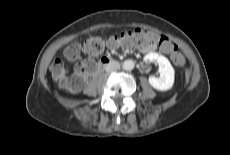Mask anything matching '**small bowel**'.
I'll use <instances>...</instances> for the list:
<instances>
[{
  "mask_svg": "<svg viewBox=\"0 0 230 155\" xmlns=\"http://www.w3.org/2000/svg\"><path fill=\"white\" fill-rule=\"evenodd\" d=\"M108 48H109L110 50H115V49L119 48V46H109ZM155 49H156V45H155V44H150V45H147V46H144V47L141 48V50H142L144 53L153 52Z\"/></svg>",
  "mask_w": 230,
  "mask_h": 155,
  "instance_id": "obj_1",
  "label": "small bowel"
}]
</instances>
